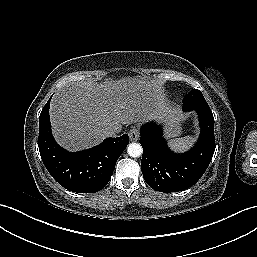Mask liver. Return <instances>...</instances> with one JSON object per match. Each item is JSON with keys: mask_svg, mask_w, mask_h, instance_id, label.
Returning <instances> with one entry per match:
<instances>
[{"mask_svg": "<svg viewBox=\"0 0 257 257\" xmlns=\"http://www.w3.org/2000/svg\"><path fill=\"white\" fill-rule=\"evenodd\" d=\"M162 92L142 77L79 82L58 90L50 104L52 133L59 145L75 152L101 143L108 130L145 122L161 108Z\"/></svg>", "mask_w": 257, "mask_h": 257, "instance_id": "liver-1", "label": "liver"}]
</instances>
